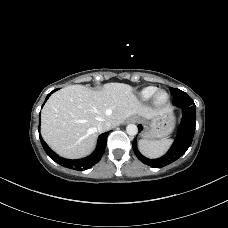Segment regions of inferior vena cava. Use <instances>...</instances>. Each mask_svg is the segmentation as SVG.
<instances>
[{
    "label": "inferior vena cava",
    "instance_id": "inferior-vena-cava-1",
    "mask_svg": "<svg viewBox=\"0 0 228 228\" xmlns=\"http://www.w3.org/2000/svg\"><path fill=\"white\" fill-rule=\"evenodd\" d=\"M111 127H112V125H111L110 122H103V123H100V124L98 125V131H99V132L107 131V130H109Z\"/></svg>",
    "mask_w": 228,
    "mask_h": 228
}]
</instances>
